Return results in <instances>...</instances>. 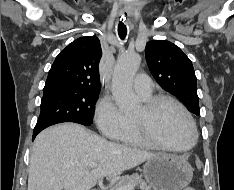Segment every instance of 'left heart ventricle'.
<instances>
[{
	"label": "left heart ventricle",
	"mask_w": 234,
	"mask_h": 190,
	"mask_svg": "<svg viewBox=\"0 0 234 190\" xmlns=\"http://www.w3.org/2000/svg\"><path fill=\"white\" fill-rule=\"evenodd\" d=\"M144 116V107L140 109L135 118ZM155 135L163 143L184 147L193 139V131L185 115L174 105L165 104L157 112L153 121Z\"/></svg>",
	"instance_id": "1"
}]
</instances>
